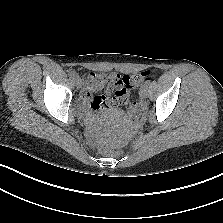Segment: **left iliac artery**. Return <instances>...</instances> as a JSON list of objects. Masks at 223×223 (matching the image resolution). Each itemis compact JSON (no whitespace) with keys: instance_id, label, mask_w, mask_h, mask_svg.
<instances>
[{"instance_id":"44dca946","label":"left iliac artery","mask_w":223,"mask_h":223,"mask_svg":"<svg viewBox=\"0 0 223 223\" xmlns=\"http://www.w3.org/2000/svg\"><path fill=\"white\" fill-rule=\"evenodd\" d=\"M149 84H150V82L147 81V82L145 83V86L147 87Z\"/></svg>"}]
</instances>
